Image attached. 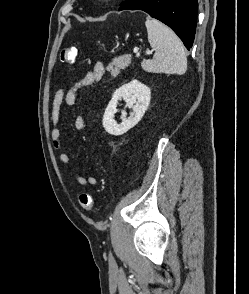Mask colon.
<instances>
[{
	"label": "colon",
	"mask_w": 249,
	"mask_h": 294,
	"mask_svg": "<svg viewBox=\"0 0 249 294\" xmlns=\"http://www.w3.org/2000/svg\"><path fill=\"white\" fill-rule=\"evenodd\" d=\"M77 48L67 46L61 50L60 53V60L64 64L71 65L75 62L77 56ZM79 205L82 210L90 211L93 208L94 200L91 194L89 193H82L79 197Z\"/></svg>",
	"instance_id": "5ec220e1"
}]
</instances>
